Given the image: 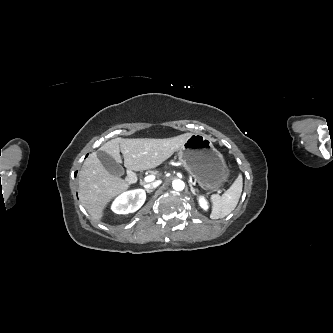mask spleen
Wrapping results in <instances>:
<instances>
[{"instance_id": "3e777b00", "label": "spleen", "mask_w": 333, "mask_h": 333, "mask_svg": "<svg viewBox=\"0 0 333 333\" xmlns=\"http://www.w3.org/2000/svg\"><path fill=\"white\" fill-rule=\"evenodd\" d=\"M243 179L239 175L230 188L222 195L213 194L211 196L212 211L211 219L224 218L229 215L237 206L242 193Z\"/></svg>"}]
</instances>
